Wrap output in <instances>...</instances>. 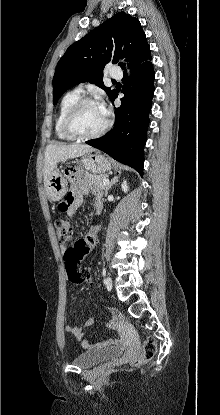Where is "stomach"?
I'll list each match as a JSON object with an SVG mask.
<instances>
[{
	"label": "stomach",
	"instance_id": "1",
	"mask_svg": "<svg viewBox=\"0 0 220 415\" xmlns=\"http://www.w3.org/2000/svg\"><path fill=\"white\" fill-rule=\"evenodd\" d=\"M81 163L86 170L96 174L105 173L113 168L112 162L98 153L86 154L82 157ZM45 189L50 200L59 201L67 192V178L59 171L54 170L48 177Z\"/></svg>",
	"mask_w": 220,
	"mask_h": 415
}]
</instances>
